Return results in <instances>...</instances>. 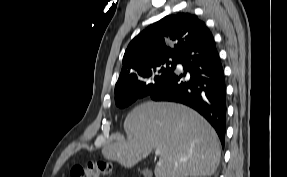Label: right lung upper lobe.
Instances as JSON below:
<instances>
[{"mask_svg": "<svg viewBox=\"0 0 287 177\" xmlns=\"http://www.w3.org/2000/svg\"><path fill=\"white\" fill-rule=\"evenodd\" d=\"M196 15H168L139 33L128 45L115 87L136 85L144 73L162 60L179 59L185 47L207 30Z\"/></svg>", "mask_w": 287, "mask_h": 177, "instance_id": "cb5924a9", "label": "right lung upper lobe"}]
</instances>
